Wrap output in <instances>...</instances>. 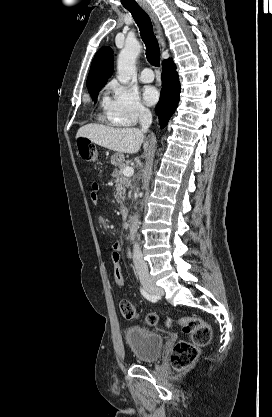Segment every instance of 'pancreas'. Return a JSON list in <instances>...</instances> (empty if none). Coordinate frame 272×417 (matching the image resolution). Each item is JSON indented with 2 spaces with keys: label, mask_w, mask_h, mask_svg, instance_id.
I'll list each match as a JSON object with an SVG mask.
<instances>
[{
  "label": "pancreas",
  "mask_w": 272,
  "mask_h": 417,
  "mask_svg": "<svg viewBox=\"0 0 272 417\" xmlns=\"http://www.w3.org/2000/svg\"><path fill=\"white\" fill-rule=\"evenodd\" d=\"M127 166L128 163H122L118 166V169H115V171L112 173V177L116 182L115 199L119 204H122L123 200L125 199L126 188L131 186V179L123 174V170Z\"/></svg>",
  "instance_id": "1"
}]
</instances>
